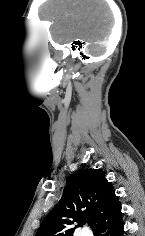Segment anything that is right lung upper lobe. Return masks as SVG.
<instances>
[{
	"label": "right lung upper lobe",
	"instance_id": "obj_1",
	"mask_svg": "<svg viewBox=\"0 0 145 236\" xmlns=\"http://www.w3.org/2000/svg\"><path fill=\"white\" fill-rule=\"evenodd\" d=\"M120 204L113 185L101 169L76 171L56 206L38 229L36 236H73L74 230L89 222L95 230L112 216Z\"/></svg>",
	"mask_w": 145,
	"mask_h": 236
}]
</instances>
